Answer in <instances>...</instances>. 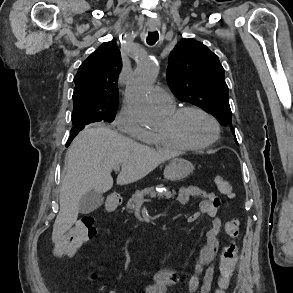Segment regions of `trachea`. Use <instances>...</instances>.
I'll return each mask as SVG.
<instances>
[{"instance_id":"obj_1","label":"trachea","mask_w":293,"mask_h":293,"mask_svg":"<svg viewBox=\"0 0 293 293\" xmlns=\"http://www.w3.org/2000/svg\"><path fill=\"white\" fill-rule=\"evenodd\" d=\"M158 38H159V34H158L157 31L149 32L148 37H147V43L149 45H153V44H155L157 42Z\"/></svg>"}]
</instances>
